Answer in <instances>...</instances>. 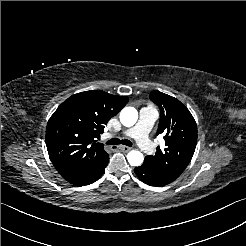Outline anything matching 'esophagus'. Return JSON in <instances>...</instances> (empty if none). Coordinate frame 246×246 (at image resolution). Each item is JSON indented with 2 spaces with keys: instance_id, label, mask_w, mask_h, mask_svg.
<instances>
[{
  "instance_id": "esophagus-1",
  "label": "esophagus",
  "mask_w": 246,
  "mask_h": 246,
  "mask_svg": "<svg viewBox=\"0 0 246 246\" xmlns=\"http://www.w3.org/2000/svg\"><path fill=\"white\" fill-rule=\"evenodd\" d=\"M119 150L122 151V152H124V153H126V152L130 151L131 148L128 147V146H120L119 147Z\"/></svg>"
}]
</instances>
